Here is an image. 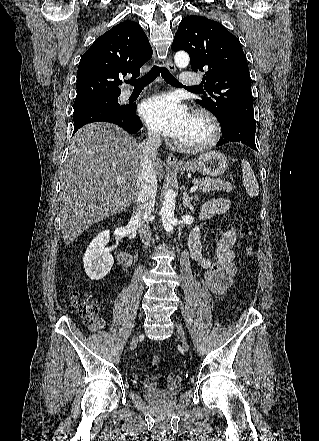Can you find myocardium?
<instances>
[{
	"label": "myocardium",
	"instance_id": "f54148a6",
	"mask_svg": "<svg viewBox=\"0 0 319 441\" xmlns=\"http://www.w3.org/2000/svg\"><path fill=\"white\" fill-rule=\"evenodd\" d=\"M192 119L202 121L207 125L208 136L199 142L176 141V147L184 152L196 153L205 151L214 146L221 136V127L218 119L209 111L198 109L193 113Z\"/></svg>",
	"mask_w": 319,
	"mask_h": 441
}]
</instances>
